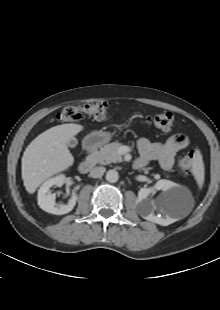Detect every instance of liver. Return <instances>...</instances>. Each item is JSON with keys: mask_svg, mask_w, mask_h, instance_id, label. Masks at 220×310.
<instances>
[{"mask_svg": "<svg viewBox=\"0 0 220 310\" xmlns=\"http://www.w3.org/2000/svg\"><path fill=\"white\" fill-rule=\"evenodd\" d=\"M83 130L80 124L54 126L38 135L22 157V179L26 191L33 194L49 177L68 169L74 157L68 140Z\"/></svg>", "mask_w": 220, "mask_h": 310, "instance_id": "liver-1", "label": "liver"}]
</instances>
